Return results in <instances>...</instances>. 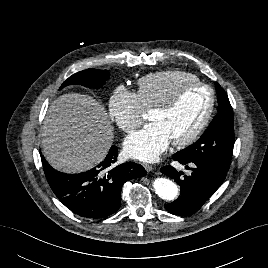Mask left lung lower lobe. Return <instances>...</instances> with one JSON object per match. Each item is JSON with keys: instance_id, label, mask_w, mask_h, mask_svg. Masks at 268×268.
I'll use <instances>...</instances> for the list:
<instances>
[{"instance_id": "1", "label": "left lung lower lobe", "mask_w": 268, "mask_h": 268, "mask_svg": "<svg viewBox=\"0 0 268 268\" xmlns=\"http://www.w3.org/2000/svg\"><path fill=\"white\" fill-rule=\"evenodd\" d=\"M173 159L186 165L191 174L180 177L182 173H178L172 166L161 168V172L174 179L181 188V196L174 202L165 204V209L173 214L189 216L197 212L219 188L228 170L210 162L185 161L174 156Z\"/></svg>"}]
</instances>
